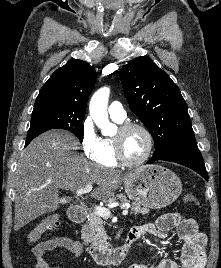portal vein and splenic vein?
Instances as JSON below:
<instances>
[{
  "mask_svg": "<svg viewBox=\"0 0 221 268\" xmlns=\"http://www.w3.org/2000/svg\"><path fill=\"white\" fill-rule=\"evenodd\" d=\"M92 190V185L91 184H88L86 185L84 188H81V189H78L76 190V194L78 196L80 195H83L85 193H88ZM94 210L97 212V214L103 218H109L111 216V212L108 208H105V207H101V206H95L94 207ZM122 214L123 215H128V209L127 208H124L123 211H122Z\"/></svg>",
  "mask_w": 221,
  "mask_h": 268,
  "instance_id": "portal-vein-and-splenic-vein-1",
  "label": "portal vein and splenic vein"
}]
</instances>
